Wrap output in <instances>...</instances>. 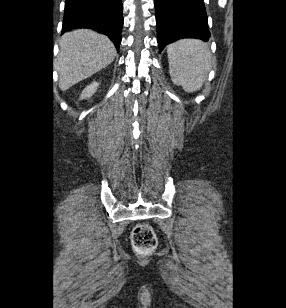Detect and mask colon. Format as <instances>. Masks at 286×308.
Masks as SVG:
<instances>
[{
	"instance_id": "obj_1",
	"label": "colon",
	"mask_w": 286,
	"mask_h": 308,
	"mask_svg": "<svg viewBox=\"0 0 286 308\" xmlns=\"http://www.w3.org/2000/svg\"><path fill=\"white\" fill-rule=\"evenodd\" d=\"M131 242L138 253L147 254L156 248L158 240L150 225L140 224L134 228L131 234Z\"/></svg>"
}]
</instances>
